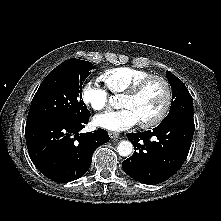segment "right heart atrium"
<instances>
[{
	"label": "right heart atrium",
	"mask_w": 221,
	"mask_h": 221,
	"mask_svg": "<svg viewBox=\"0 0 221 221\" xmlns=\"http://www.w3.org/2000/svg\"><path fill=\"white\" fill-rule=\"evenodd\" d=\"M80 95L83 103L94 111H105L109 106L107 92L95 81L85 82L81 88Z\"/></svg>",
	"instance_id": "1"
}]
</instances>
